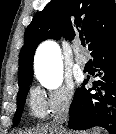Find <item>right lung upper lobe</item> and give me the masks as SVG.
<instances>
[{
    "label": "right lung upper lobe",
    "instance_id": "obj_1",
    "mask_svg": "<svg viewBox=\"0 0 116 134\" xmlns=\"http://www.w3.org/2000/svg\"><path fill=\"white\" fill-rule=\"evenodd\" d=\"M78 35L85 36L90 51L116 36L115 1L52 0L37 13L25 31L19 55L18 94L32 82L34 53L42 41L62 36L72 41Z\"/></svg>",
    "mask_w": 116,
    "mask_h": 134
}]
</instances>
